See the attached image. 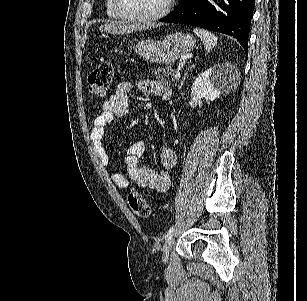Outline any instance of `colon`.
<instances>
[{"mask_svg": "<svg viewBox=\"0 0 307 301\" xmlns=\"http://www.w3.org/2000/svg\"><path fill=\"white\" fill-rule=\"evenodd\" d=\"M114 74L113 64L106 60L98 64L88 76L89 90L98 96L106 94ZM128 203L132 211L139 217H147L150 214V207L138 192H131L128 195Z\"/></svg>", "mask_w": 307, "mask_h": 301, "instance_id": "colon-1", "label": "colon"}]
</instances>
